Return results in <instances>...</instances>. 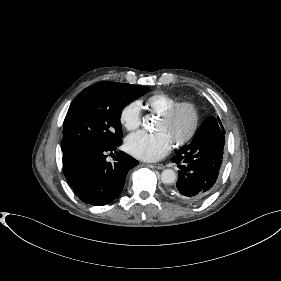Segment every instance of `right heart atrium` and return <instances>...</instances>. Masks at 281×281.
Returning a JSON list of instances; mask_svg holds the SVG:
<instances>
[{"label": "right heart atrium", "instance_id": "d8ad5b80", "mask_svg": "<svg viewBox=\"0 0 281 281\" xmlns=\"http://www.w3.org/2000/svg\"><path fill=\"white\" fill-rule=\"evenodd\" d=\"M120 123L127 130H135L141 123V106L137 101L127 103L120 111Z\"/></svg>", "mask_w": 281, "mask_h": 281}]
</instances>
